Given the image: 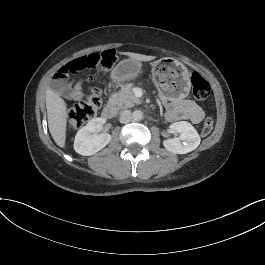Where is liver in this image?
Returning <instances> with one entry per match:
<instances>
[{
  "instance_id": "obj_1",
  "label": "liver",
  "mask_w": 265,
  "mask_h": 265,
  "mask_svg": "<svg viewBox=\"0 0 265 265\" xmlns=\"http://www.w3.org/2000/svg\"><path fill=\"white\" fill-rule=\"evenodd\" d=\"M118 55L129 57L137 62H150L155 60L156 56H147L132 52H118ZM46 111L49 132L56 145L67 150L66 133L69 111L67 103L56 90L48 87L46 90Z\"/></svg>"
}]
</instances>
